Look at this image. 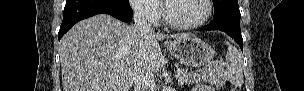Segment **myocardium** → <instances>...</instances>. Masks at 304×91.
<instances>
[{
	"label": "myocardium",
	"instance_id": "obj_1",
	"mask_svg": "<svg viewBox=\"0 0 304 91\" xmlns=\"http://www.w3.org/2000/svg\"><path fill=\"white\" fill-rule=\"evenodd\" d=\"M176 1V0H166L162 2V7L164 11V18L167 25L172 28L182 29V30H189L201 27L204 25L212 14V1L211 0H202L205 5V14L204 16L194 23H180L172 19L169 14V2Z\"/></svg>",
	"mask_w": 304,
	"mask_h": 91
}]
</instances>
